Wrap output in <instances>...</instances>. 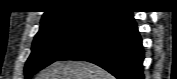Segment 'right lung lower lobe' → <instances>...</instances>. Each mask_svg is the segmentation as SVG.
<instances>
[{"instance_id": "right-lung-lower-lobe-1", "label": "right lung lower lobe", "mask_w": 177, "mask_h": 79, "mask_svg": "<svg viewBox=\"0 0 177 79\" xmlns=\"http://www.w3.org/2000/svg\"><path fill=\"white\" fill-rule=\"evenodd\" d=\"M144 51L132 12L114 9L90 33L57 61L94 63L118 79H143Z\"/></svg>"}]
</instances>
